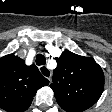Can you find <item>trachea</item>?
I'll use <instances>...</instances> for the list:
<instances>
[{
	"label": "trachea",
	"mask_w": 112,
	"mask_h": 112,
	"mask_svg": "<svg viewBox=\"0 0 112 112\" xmlns=\"http://www.w3.org/2000/svg\"><path fill=\"white\" fill-rule=\"evenodd\" d=\"M36 64H37L38 66H40V65H45V64H46V58H45L42 54H38V55L36 56ZM46 71H47V70H42V73H43L45 76H47V75H46Z\"/></svg>",
	"instance_id": "1"
}]
</instances>
